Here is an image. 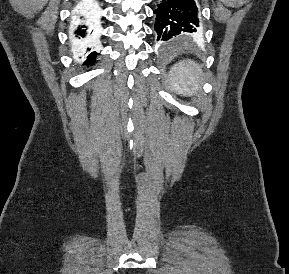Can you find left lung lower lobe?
I'll use <instances>...</instances> for the list:
<instances>
[{
    "instance_id": "left-lung-lower-lobe-1",
    "label": "left lung lower lobe",
    "mask_w": 289,
    "mask_h": 274,
    "mask_svg": "<svg viewBox=\"0 0 289 274\" xmlns=\"http://www.w3.org/2000/svg\"><path fill=\"white\" fill-rule=\"evenodd\" d=\"M156 14L157 41L172 45L197 37L201 30L195 0H160Z\"/></svg>"
}]
</instances>
